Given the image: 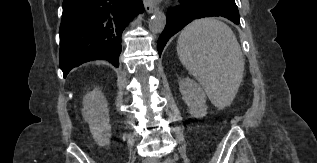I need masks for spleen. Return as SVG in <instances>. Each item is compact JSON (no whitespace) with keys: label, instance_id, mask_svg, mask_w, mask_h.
<instances>
[{"label":"spleen","instance_id":"3e777b00","mask_svg":"<svg viewBox=\"0 0 317 163\" xmlns=\"http://www.w3.org/2000/svg\"><path fill=\"white\" fill-rule=\"evenodd\" d=\"M177 53L214 106L231 104L243 78L244 58L228 25L215 18L193 21L181 32Z\"/></svg>","mask_w":317,"mask_h":163}]
</instances>
